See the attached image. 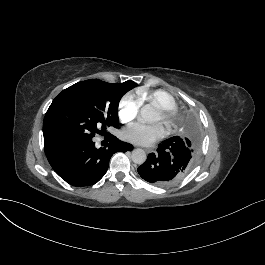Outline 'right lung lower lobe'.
Instances as JSON below:
<instances>
[{
    "mask_svg": "<svg viewBox=\"0 0 265 265\" xmlns=\"http://www.w3.org/2000/svg\"><path fill=\"white\" fill-rule=\"evenodd\" d=\"M109 145L95 148L92 139H73L45 148L54 171L73 186L97 183L106 173L111 156L117 151H131L133 146L110 135Z\"/></svg>",
    "mask_w": 265,
    "mask_h": 265,
    "instance_id": "1",
    "label": "right lung lower lobe"
}]
</instances>
